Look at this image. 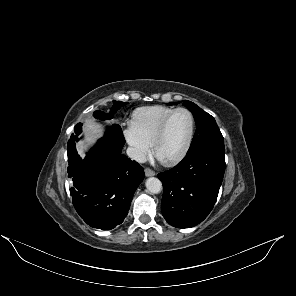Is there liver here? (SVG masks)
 <instances>
[{"label":"liver","instance_id":"obj_1","mask_svg":"<svg viewBox=\"0 0 296 296\" xmlns=\"http://www.w3.org/2000/svg\"><path fill=\"white\" fill-rule=\"evenodd\" d=\"M85 140L79 141L77 145L78 153L84 157L89 146L93 145L94 142L103 135L102 127L92 121H86L84 125Z\"/></svg>","mask_w":296,"mask_h":296}]
</instances>
